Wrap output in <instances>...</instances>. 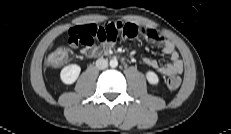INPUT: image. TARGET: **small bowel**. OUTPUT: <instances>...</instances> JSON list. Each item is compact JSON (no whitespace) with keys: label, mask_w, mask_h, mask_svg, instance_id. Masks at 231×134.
<instances>
[{"label":"small bowel","mask_w":231,"mask_h":134,"mask_svg":"<svg viewBox=\"0 0 231 134\" xmlns=\"http://www.w3.org/2000/svg\"><path fill=\"white\" fill-rule=\"evenodd\" d=\"M119 33H121L124 38L144 37L153 44L161 45L164 53L170 56V62L163 66H160L158 62L152 58H145L143 61L147 67L164 76L182 73L183 63L175 49L174 43L153 29L133 23L118 21L108 22L102 25H76L68 32V44L72 48H77L79 45H82L81 54L83 56H91L100 51L101 46L112 47ZM95 38L100 44L94 47Z\"/></svg>","instance_id":"c3829d8e"}]
</instances>
